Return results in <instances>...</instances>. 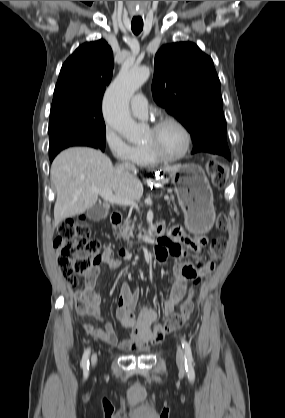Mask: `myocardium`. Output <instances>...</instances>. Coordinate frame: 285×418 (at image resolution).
Wrapping results in <instances>:
<instances>
[{"instance_id":"myocardium-1","label":"myocardium","mask_w":285,"mask_h":418,"mask_svg":"<svg viewBox=\"0 0 285 418\" xmlns=\"http://www.w3.org/2000/svg\"><path fill=\"white\" fill-rule=\"evenodd\" d=\"M167 124H173L182 131L184 135V146H183L182 151L178 155L173 156V157H166V156H163L161 153H159L152 146L144 144V147L147 153L149 154V156L159 163H173V162L183 159L188 154L190 150V146H191V134L188 128L181 121H179L178 119L174 117L167 116V117L160 118L159 120L153 123L152 130L157 131L162 126L167 125Z\"/></svg>"}]
</instances>
